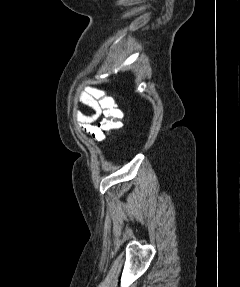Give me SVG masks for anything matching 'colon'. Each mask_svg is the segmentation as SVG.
Returning <instances> with one entry per match:
<instances>
[{"instance_id": "colon-1", "label": "colon", "mask_w": 240, "mask_h": 287, "mask_svg": "<svg viewBox=\"0 0 240 287\" xmlns=\"http://www.w3.org/2000/svg\"><path fill=\"white\" fill-rule=\"evenodd\" d=\"M95 100L101 110L103 118L99 124L103 134H111L112 132L121 128L122 113L114 105L113 100L110 97L103 96L101 94H95Z\"/></svg>"}]
</instances>
